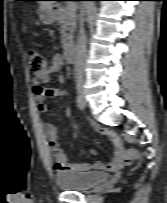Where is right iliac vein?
Wrapping results in <instances>:
<instances>
[{
  "instance_id": "1",
  "label": "right iliac vein",
  "mask_w": 167,
  "mask_h": 203,
  "mask_svg": "<svg viewBox=\"0 0 167 203\" xmlns=\"http://www.w3.org/2000/svg\"><path fill=\"white\" fill-rule=\"evenodd\" d=\"M78 93L81 96V98H84V90L82 86H78Z\"/></svg>"
}]
</instances>
